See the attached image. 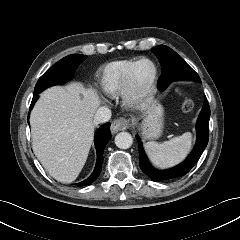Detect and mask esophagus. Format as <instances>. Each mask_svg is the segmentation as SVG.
I'll use <instances>...</instances> for the list:
<instances>
[{"label": "esophagus", "instance_id": "esophagus-1", "mask_svg": "<svg viewBox=\"0 0 240 240\" xmlns=\"http://www.w3.org/2000/svg\"><path fill=\"white\" fill-rule=\"evenodd\" d=\"M129 125V120L125 118L116 119L111 124L112 133H117L119 131L126 130Z\"/></svg>", "mask_w": 240, "mask_h": 240}]
</instances>
